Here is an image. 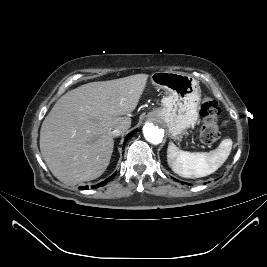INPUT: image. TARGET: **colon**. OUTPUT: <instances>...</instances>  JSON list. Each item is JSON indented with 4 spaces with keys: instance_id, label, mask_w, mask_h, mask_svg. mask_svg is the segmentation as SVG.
I'll use <instances>...</instances> for the list:
<instances>
[{
    "instance_id": "obj_1",
    "label": "colon",
    "mask_w": 267,
    "mask_h": 267,
    "mask_svg": "<svg viewBox=\"0 0 267 267\" xmlns=\"http://www.w3.org/2000/svg\"><path fill=\"white\" fill-rule=\"evenodd\" d=\"M200 113L203 117V125L200 129V139L205 144H213L220 137L217 125V118L220 114L219 105L214 99L206 97L201 104Z\"/></svg>"
}]
</instances>
